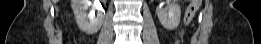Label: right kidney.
Listing matches in <instances>:
<instances>
[{
  "mask_svg": "<svg viewBox=\"0 0 261 44\" xmlns=\"http://www.w3.org/2000/svg\"><path fill=\"white\" fill-rule=\"evenodd\" d=\"M71 7L76 23L83 32L93 34L101 28L105 12L99 0H72Z\"/></svg>",
  "mask_w": 261,
  "mask_h": 44,
  "instance_id": "right-kidney-1",
  "label": "right kidney"
}]
</instances>
